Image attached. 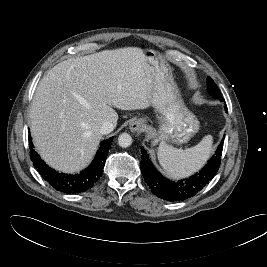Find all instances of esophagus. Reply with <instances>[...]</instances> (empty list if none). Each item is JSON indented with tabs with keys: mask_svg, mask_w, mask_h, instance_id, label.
<instances>
[{
	"mask_svg": "<svg viewBox=\"0 0 267 267\" xmlns=\"http://www.w3.org/2000/svg\"><path fill=\"white\" fill-rule=\"evenodd\" d=\"M129 129L133 133L140 134L144 131V123L140 119L133 120L129 125Z\"/></svg>",
	"mask_w": 267,
	"mask_h": 267,
	"instance_id": "1",
	"label": "esophagus"
}]
</instances>
